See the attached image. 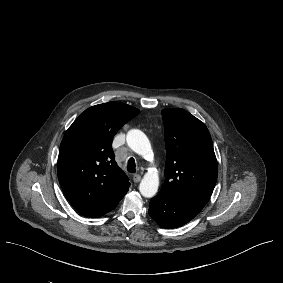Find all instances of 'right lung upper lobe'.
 <instances>
[{"mask_svg": "<svg viewBox=\"0 0 283 283\" xmlns=\"http://www.w3.org/2000/svg\"><path fill=\"white\" fill-rule=\"evenodd\" d=\"M139 110L108 102L85 110L69 127L60 145L58 178L69 202L84 215L100 217L127 193V175L115 162L112 140Z\"/></svg>", "mask_w": 283, "mask_h": 283, "instance_id": "right-lung-upper-lobe-1", "label": "right lung upper lobe"}]
</instances>
